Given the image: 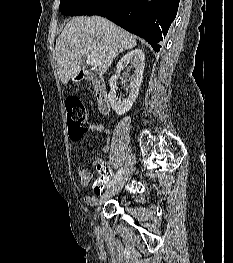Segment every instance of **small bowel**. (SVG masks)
I'll return each mask as SVG.
<instances>
[{
    "instance_id": "obj_1",
    "label": "small bowel",
    "mask_w": 233,
    "mask_h": 263,
    "mask_svg": "<svg viewBox=\"0 0 233 263\" xmlns=\"http://www.w3.org/2000/svg\"><path fill=\"white\" fill-rule=\"evenodd\" d=\"M90 131L103 134L104 136L103 151L107 152L110 146V138H111L109 128L101 123H93L90 126ZM93 165L97 168L98 171H110V167L107 166L106 163L100 158L95 159L93 161ZM78 174L80 177L81 186L87 187L93 179L92 172L86 168H80L78 170ZM101 184H105V183H101ZM83 200L86 205L91 207L97 205L98 203V199L94 195H84Z\"/></svg>"
}]
</instances>
